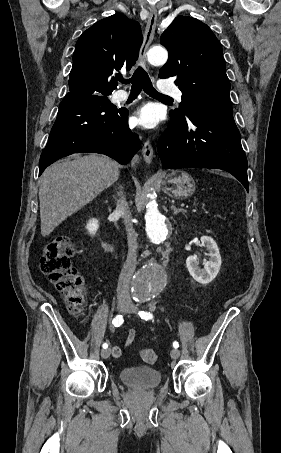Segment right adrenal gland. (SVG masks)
<instances>
[{
	"label": "right adrenal gland",
	"instance_id": "1",
	"mask_svg": "<svg viewBox=\"0 0 281 453\" xmlns=\"http://www.w3.org/2000/svg\"><path fill=\"white\" fill-rule=\"evenodd\" d=\"M120 188H122L121 184H120ZM112 196H113L114 200H117L116 194H112Z\"/></svg>",
	"mask_w": 281,
	"mask_h": 453
}]
</instances>
